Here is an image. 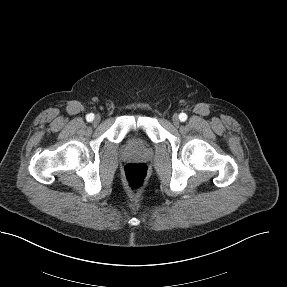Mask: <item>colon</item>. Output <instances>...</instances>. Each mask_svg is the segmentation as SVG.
<instances>
[{"label": "colon", "instance_id": "colon-1", "mask_svg": "<svg viewBox=\"0 0 287 287\" xmlns=\"http://www.w3.org/2000/svg\"><path fill=\"white\" fill-rule=\"evenodd\" d=\"M122 175L128 189L133 194H138L146 184L149 169L144 163H127L123 167Z\"/></svg>", "mask_w": 287, "mask_h": 287}]
</instances>
